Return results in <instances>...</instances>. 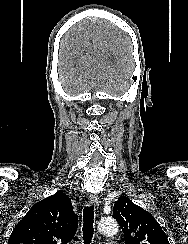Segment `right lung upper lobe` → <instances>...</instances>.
<instances>
[{
    "mask_svg": "<svg viewBox=\"0 0 188 244\" xmlns=\"http://www.w3.org/2000/svg\"><path fill=\"white\" fill-rule=\"evenodd\" d=\"M77 228L71 199L58 191L31 207L13 229L8 244H67Z\"/></svg>",
    "mask_w": 188,
    "mask_h": 244,
    "instance_id": "right-lung-upper-lobe-1",
    "label": "right lung upper lobe"
}]
</instances>
